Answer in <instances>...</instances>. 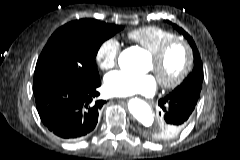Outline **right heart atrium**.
Returning <instances> with one entry per match:
<instances>
[{
	"label": "right heart atrium",
	"instance_id": "right-heart-atrium-1",
	"mask_svg": "<svg viewBox=\"0 0 240 160\" xmlns=\"http://www.w3.org/2000/svg\"><path fill=\"white\" fill-rule=\"evenodd\" d=\"M121 46L115 38L103 41L97 48L95 59L101 70L107 71L117 65Z\"/></svg>",
	"mask_w": 240,
	"mask_h": 160
}]
</instances>
